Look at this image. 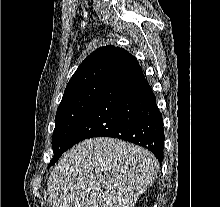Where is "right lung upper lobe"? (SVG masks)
<instances>
[{"instance_id": "1", "label": "right lung upper lobe", "mask_w": 220, "mask_h": 207, "mask_svg": "<svg viewBox=\"0 0 220 207\" xmlns=\"http://www.w3.org/2000/svg\"><path fill=\"white\" fill-rule=\"evenodd\" d=\"M137 60L123 48L115 46L100 47L87 56L68 82L65 92L96 80H106Z\"/></svg>"}]
</instances>
